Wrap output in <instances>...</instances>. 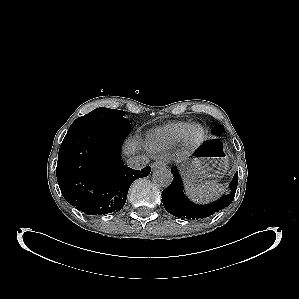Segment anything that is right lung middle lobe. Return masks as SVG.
Segmentation results:
<instances>
[{"instance_id": "obj_1", "label": "right lung middle lobe", "mask_w": 299, "mask_h": 299, "mask_svg": "<svg viewBox=\"0 0 299 299\" xmlns=\"http://www.w3.org/2000/svg\"><path fill=\"white\" fill-rule=\"evenodd\" d=\"M125 112L122 110L97 108L90 113L77 118L70 126L73 129L81 126H97L105 124L126 123L128 120L124 118Z\"/></svg>"}]
</instances>
